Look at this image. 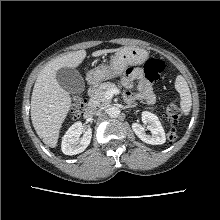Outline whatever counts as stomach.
Returning <instances> with one entry per match:
<instances>
[{"instance_id":"obj_1","label":"stomach","mask_w":220,"mask_h":220,"mask_svg":"<svg viewBox=\"0 0 220 220\" xmlns=\"http://www.w3.org/2000/svg\"><path fill=\"white\" fill-rule=\"evenodd\" d=\"M148 58V52L139 47H124L111 58L109 65H101L87 73L88 83L98 86L102 81L123 74L127 66L141 65Z\"/></svg>"}]
</instances>
